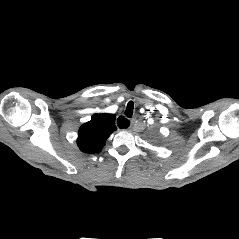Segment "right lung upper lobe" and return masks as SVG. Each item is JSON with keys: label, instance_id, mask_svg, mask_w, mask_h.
I'll return each instance as SVG.
<instances>
[{"label": "right lung upper lobe", "instance_id": "cb5924a9", "mask_svg": "<svg viewBox=\"0 0 239 239\" xmlns=\"http://www.w3.org/2000/svg\"><path fill=\"white\" fill-rule=\"evenodd\" d=\"M115 115L94 114L91 120L83 124L78 132V147L85 153H98L105 141L117 128Z\"/></svg>", "mask_w": 239, "mask_h": 239}]
</instances>
